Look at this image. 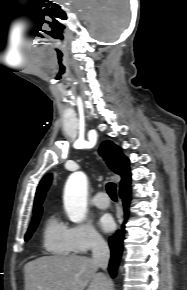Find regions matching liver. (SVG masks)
Wrapping results in <instances>:
<instances>
[{
	"label": "liver",
	"mask_w": 187,
	"mask_h": 290,
	"mask_svg": "<svg viewBox=\"0 0 187 290\" xmlns=\"http://www.w3.org/2000/svg\"><path fill=\"white\" fill-rule=\"evenodd\" d=\"M85 256H44L24 266L25 290H112V280L97 273Z\"/></svg>",
	"instance_id": "obj_1"
}]
</instances>
